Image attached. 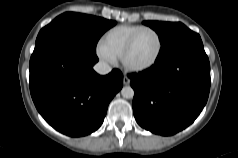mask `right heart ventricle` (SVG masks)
I'll return each mask as SVG.
<instances>
[{"label": "right heart ventricle", "mask_w": 238, "mask_h": 158, "mask_svg": "<svg viewBox=\"0 0 238 158\" xmlns=\"http://www.w3.org/2000/svg\"><path fill=\"white\" fill-rule=\"evenodd\" d=\"M141 25H118L109 29L101 39V44L115 57H120L130 37Z\"/></svg>", "instance_id": "right-heart-ventricle-1"}]
</instances>
